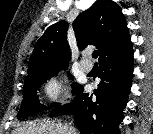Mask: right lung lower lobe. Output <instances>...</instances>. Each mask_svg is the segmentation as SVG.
I'll list each match as a JSON object with an SVG mask.
<instances>
[{
	"label": "right lung lower lobe",
	"mask_w": 153,
	"mask_h": 134,
	"mask_svg": "<svg viewBox=\"0 0 153 134\" xmlns=\"http://www.w3.org/2000/svg\"><path fill=\"white\" fill-rule=\"evenodd\" d=\"M101 82L95 95L76 92L71 104L55 108L50 116L72 113L81 134H120L119 123L127 103L133 75L131 41L103 55L100 60Z\"/></svg>",
	"instance_id": "obj_1"
}]
</instances>
